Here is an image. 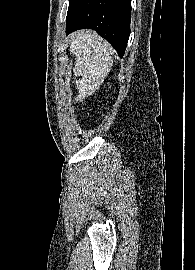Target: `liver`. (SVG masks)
<instances>
[{
  "instance_id": "liver-1",
  "label": "liver",
  "mask_w": 195,
  "mask_h": 270,
  "mask_svg": "<svg viewBox=\"0 0 195 270\" xmlns=\"http://www.w3.org/2000/svg\"><path fill=\"white\" fill-rule=\"evenodd\" d=\"M70 51L75 55L73 74L78 90L76 102L91 96L111 71L113 54L111 45L92 30H78L70 35Z\"/></svg>"
}]
</instances>
